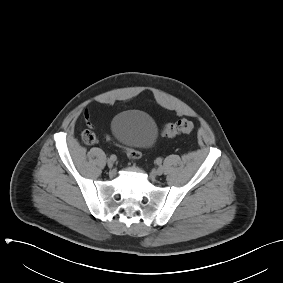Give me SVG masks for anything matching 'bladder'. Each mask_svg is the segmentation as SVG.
Segmentation results:
<instances>
[{
  "mask_svg": "<svg viewBox=\"0 0 283 283\" xmlns=\"http://www.w3.org/2000/svg\"><path fill=\"white\" fill-rule=\"evenodd\" d=\"M111 133L121 145L130 149H148L158 137L154 119L144 111L131 109L116 114L111 121Z\"/></svg>",
  "mask_w": 283,
  "mask_h": 283,
  "instance_id": "bladder-1",
  "label": "bladder"
}]
</instances>
